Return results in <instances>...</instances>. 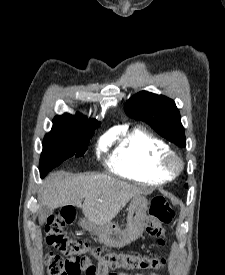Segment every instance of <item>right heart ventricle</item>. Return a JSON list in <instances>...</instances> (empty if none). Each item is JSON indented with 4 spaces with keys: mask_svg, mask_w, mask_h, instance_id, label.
I'll return each mask as SVG.
<instances>
[{
    "mask_svg": "<svg viewBox=\"0 0 225 275\" xmlns=\"http://www.w3.org/2000/svg\"><path fill=\"white\" fill-rule=\"evenodd\" d=\"M113 138L118 139L108 161L113 173L143 185H158L173 178L162 167V157L170 149L161 138L142 128L109 139Z\"/></svg>",
    "mask_w": 225,
    "mask_h": 275,
    "instance_id": "right-heart-ventricle-1",
    "label": "right heart ventricle"
}]
</instances>
